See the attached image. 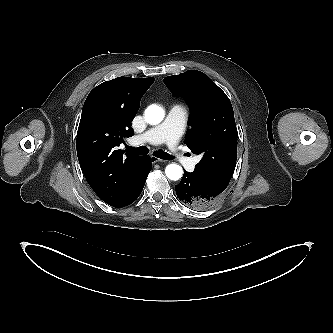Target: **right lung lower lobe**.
Segmentation results:
<instances>
[{
  "mask_svg": "<svg viewBox=\"0 0 333 333\" xmlns=\"http://www.w3.org/2000/svg\"><path fill=\"white\" fill-rule=\"evenodd\" d=\"M151 168L152 164L150 158L148 156H143L131 175L129 186L126 193L124 194L121 200H119L117 203H115L112 206L120 208L134 202L142 192L146 178Z\"/></svg>",
  "mask_w": 333,
  "mask_h": 333,
  "instance_id": "1",
  "label": "right lung lower lobe"
}]
</instances>
